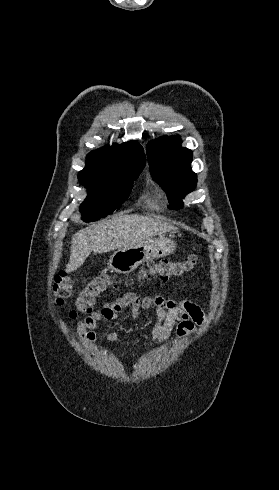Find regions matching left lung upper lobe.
Segmentation results:
<instances>
[{
	"label": "left lung upper lobe",
	"instance_id": "left-lung-upper-lobe-1",
	"mask_svg": "<svg viewBox=\"0 0 279 490\" xmlns=\"http://www.w3.org/2000/svg\"><path fill=\"white\" fill-rule=\"evenodd\" d=\"M192 156L191 150L181 147L179 136L162 137L147 145L153 178L167 193L172 209L180 208L181 198L196 187L197 175L190 167Z\"/></svg>",
	"mask_w": 279,
	"mask_h": 490
}]
</instances>
